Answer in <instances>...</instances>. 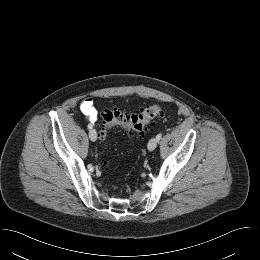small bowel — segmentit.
<instances>
[{
	"label": "small bowel",
	"instance_id": "small-bowel-1",
	"mask_svg": "<svg viewBox=\"0 0 260 260\" xmlns=\"http://www.w3.org/2000/svg\"><path fill=\"white\" fill-rule=\"evenodd\" d=\"M80 110L92 123L97 121L98 113L92 98L83 99L80 103Z\"/></svg>",
	"mask_w": 260,
	"mask_h": 260
}]
</instances>
